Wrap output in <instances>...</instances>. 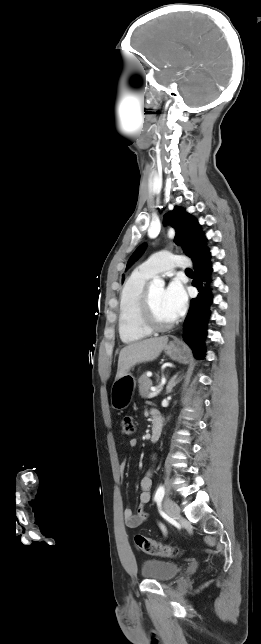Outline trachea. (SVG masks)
<instances>
[{
    "label": "trachea",
    "mask_w": 261,
    "mask_h": 644,
    "mask_svg": "<svg viewBox=\"0 0 261 644\" xmlns=\"http://www.w3.org/2000/svg\"><path fill=\"white\" fill-rule=\"evenodd\" d=\"M186 272L187 273H193V271L191 269H186Z\"/></svg>",
    "instance_id": "3493384b"
}]
</instances>
